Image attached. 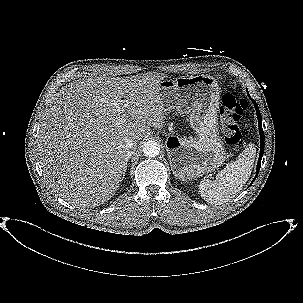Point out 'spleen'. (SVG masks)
Here are the masks:
<instances>
[{
    "mask_svg": "<svg viewBox=\"0 0 303 303\" xmlns=\"http://www.w3.org/2000/svg\"><path fill=\"white\" fill-rule=\"evenodd\" d=\"M255 156L254 145H247L236 161L221 170L215 180L204 179L200 182L198 189L201 197L213 205H220L234 198L248 181Z\"/></svg>",
    "mask_w": 303,
    "mask_h": 303,
    "instance_id": "1",
    "label": "spleen"
}]
</instances>
